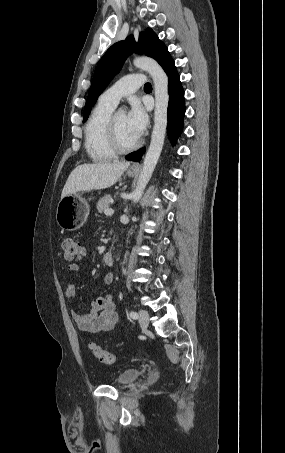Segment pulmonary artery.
Returning a JSON list of instances; mask_svg holds the SVG:
<instances>
[{"instance_id":"pulmonary-artery-1","label":"pulmonary artery","mask_w":285,"mask_h":453,"mask_svg":"<svg viewBox=\"0 0 285 453\" xmlns=\"http://www.w3.org/2000/svg\"><path fill=\"white\" fill-rule=\"evenodd\" d=\"M144 83L145 76L143 74H128L109 87L101 95V99L116 106L122 98L134 93Z\"/></svg>"}]
</instances>
